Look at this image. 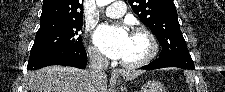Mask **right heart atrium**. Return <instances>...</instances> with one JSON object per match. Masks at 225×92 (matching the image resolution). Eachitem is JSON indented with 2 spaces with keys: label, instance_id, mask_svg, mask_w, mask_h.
<instances>
[{
  "label": "right heart atrium",
  "instance_id": "d8ad5b80",
  "mask_svg": "<svg viewBox=\"0 0 225 92\" xmlns=\"http://www.w3.org/2000/svg\"><path fill=\"white\" fill-rule=\"evenodd\" d=\"M89 54L92 58L96 59V60H102V54L99 52V50L94 47V46H90L89 47Z\"/></svg>",
  "mask_w": 225,
  "mask_h": 92
}]
</instances>
